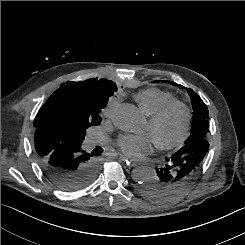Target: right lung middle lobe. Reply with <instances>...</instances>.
<instances>
[{
  "label": "right lung middle lobe",
  "instance_id": "obj_1",
  "mask_svg": "<svg viewBox=\"0 0 245 245\" xmlns=\"http://www.w3.org/2000/svg\"><path fill=\"white\" fill-rule=\"evenodd\" d=\"M114 92L108 94L102 99L100 107L97 109L96 112L82 114L73 121V126L76 128L78 133L75 141L82 143L84 140V136L86 135V129L90 126L99 125L101 123L102 118L100 117V112L106 106L109 97L113 95ZM52 124L56 132L61 137H65L67 135L71 125L67 120L63 118L53 120Z\"/></svg>",
  "mask_w": 245,
  "mask_h": 245
}]
</instances>
